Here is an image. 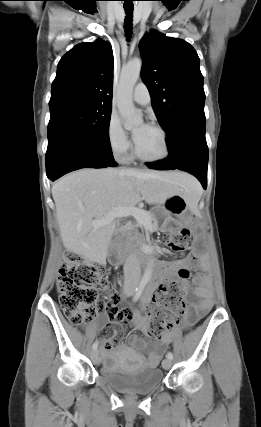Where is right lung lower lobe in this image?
<instances>
[{
  "label": "right lung lower lobe",
  "instance_id": "98d812e1",
  "mask_svg": "<svg viewBox=\"0 0 261 427\" xmlns=\"http://www.w3.org/2000/svg\"><path fill=\"white\" fill-rule=\"evenodd\" d=\"M109 145H96L73 140H57L48 144L46 173L51 181L81 168L114 166Z\"/></svg>",
  "mask_w": 261,
  "mask_h": 427
}]
</instances>
